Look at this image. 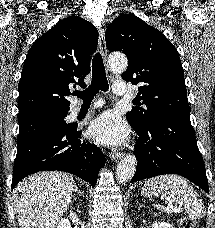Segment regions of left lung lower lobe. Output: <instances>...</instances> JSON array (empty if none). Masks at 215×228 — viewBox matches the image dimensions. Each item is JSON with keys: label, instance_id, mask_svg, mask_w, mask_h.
Instances as JSON below:
<instances>
[{"label": "left lung lower lobe", "instance_id": "left-lung-lower-lobe-1", "mask_svg": "<svg viewBox=\"0 0 215 228\" xmlns=\"http://www.w3.org/2000/svg\"><path fill=\"white\" fill-rule=\"evenodd\" d=\"M136 132V131H135ZM137 169L131 182L163 174L181 175L209 193L206 170L189 115H163L136 132Z\"/></svg>", "mask_w": 215, "mask_h": 228}]
</instances>
